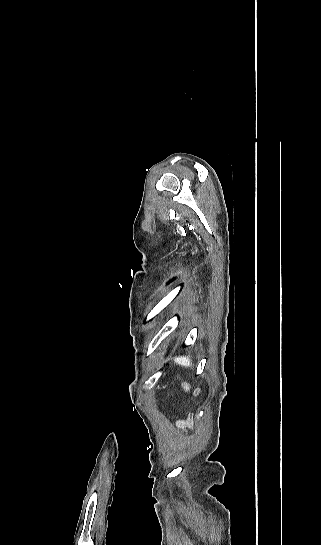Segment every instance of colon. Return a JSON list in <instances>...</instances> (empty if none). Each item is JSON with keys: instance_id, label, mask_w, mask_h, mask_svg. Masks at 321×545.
<instances>
[{"instance_id": "1", "label": "colon", "mask_w": 321, "mask_h": 545, "mask_svg": "<svg viewBox=\"0 0 321 545\" xmlns=\"http://www.w3.org/2000/svg\"><path fill=\"white\" fill-rule=\"evenodd\" d=\"M190 423H191V419H188L187 421L179 422L178 425L179 426H185V425H189Z\"/></svg>"}]
</instances>
